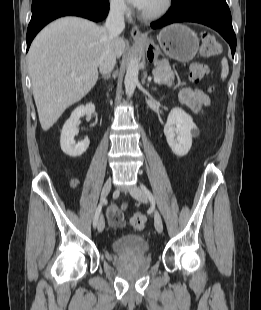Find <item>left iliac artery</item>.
Segmentation results:
<instances>
[{"instance_id": "1", "label": "left iliac artery", "mask_w": 261, "mask_h": 310, "mask_svg": "<svg viewBox=\"0 0 261 310\" xmlns=\"http://www.w3.org/2000/svg\"><path fill=\"white\" fill-rule=\"evenodd\" d=\"M142 191L145 193V195L149 198L150 201L154 202V196L152 193L147 189V187L144 184L140 185Z\"/></svg>"}]
</instances>
